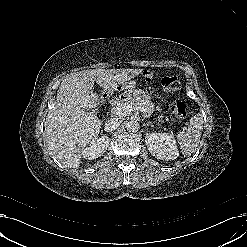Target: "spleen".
<instances>
[{"label": "spleen", "instance_id": "3e777b00", "mask_svg": "<svg viewBox=\"0 0 247 247\" xmlns=\"http://www.w3.org/2000/svg\"><path fill=\"white\" fill-rule=\"evenodd\" d=\"M202 129L203 119L200 114H197L190 119L188 129L177 135L184 156H190L191 153L196 151L202 135Z\"/></svg>", "mask_w": 247, "mask_h": 247}]
</instances>
